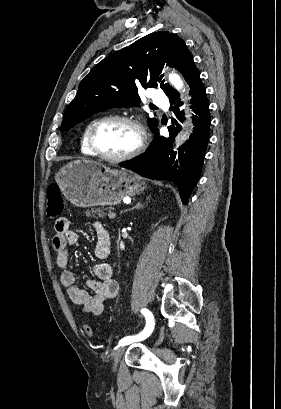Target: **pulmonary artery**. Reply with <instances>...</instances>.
Wrapping results in <instances>:
<instances>
[{"label":"pulmonary artery","mask_w":281,"mask_h":409,"mask_svg":"<svg viewBox=\"0 0 281 409\" xmlns=\"http://www.w3.org/2000/svg\"><path fill=\"white\" fill-rule=\"evenodd\" d=\"M155 103H167L168 102V95L161 94L159 91H155L153 93Z\"/></svg>","instance_id":"1"}]
</instances>
